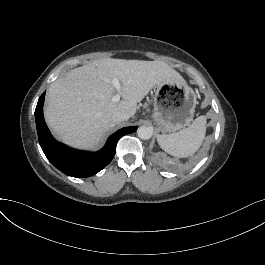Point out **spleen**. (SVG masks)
Segmentation results:
<instances>
[{
	"label": "spleen",
	"instance_id": "obj_1",
	"mask_svg": "<svg viewBox=\"0 0 265 265\" xmlns=\"http://www.w3.org/2000/svg\"><path fill=\"white\" fill-rule=\"evenodd\" d=\"M204 132L205 119L198 117L190 126L176 133L157 135V141L167 153L184 157L193 154L198 149L203 140Z\"/></svg>",
	"mask_w": 265,
	"mask_h": 265
}]
</instances>
